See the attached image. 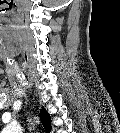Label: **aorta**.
Returning a JSON list of instances; mask_svg holds the SVG:
<instances>
[{
  "instance_id": "762f6f07",
  "label": "aorta",
  "mask_w": 120,
  "mask_h": 133,
  "mask_svg": "<svg viewBox=\"0 0 120 133\" xmlns=\"http://www.w3.org/2000/svg\"><path fill=\"white\" fill-rule=\"evenodd\" d=\"M13 127H14V126H11V127H9V129H10V128H13Z\"/></svg>"
}]
</instances>
